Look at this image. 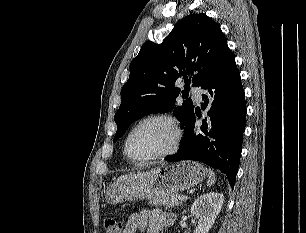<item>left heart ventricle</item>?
I'll list each match as a JSON object with an SVG mask.
<instances>
[{"label": "left heart ventricle", "instance_id": "left-heart-ventricle-1", "mask_svg": "<svg viewBox=\"0 0 306 233\" xmlns=\"http://www.w3.org/2000/svg\"><path fill=\"white\" fill-rule=\"evenodd\" d=\"M174 141L172 127L165 121L143 124L132 135L129 151L135 158H144L168 150Z\"/></svg>", "mask_w": 306, "mask_h": 233}]
</instances>
